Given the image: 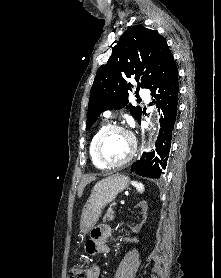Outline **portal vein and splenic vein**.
<instances>
[{
	"instance_id": "portal-vein-and-splenic-vein-1",
	"label": "portal vein and splenic vein",
	"mask_w": 221,
	"mask_h": 278,
	"mask_svg": "<svg viewBox=\"0 0 221 278\" xmlns=\"http://www.w3.org/2000/svg\"><path fill=\"white\" fill-rule=\"evenodd\" d=\"M120 204L123 205V204H124V201L121 200V201H120Z\"/></svg>"
}]
</instances>
